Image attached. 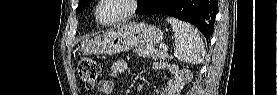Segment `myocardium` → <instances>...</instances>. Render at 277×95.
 <instances>
[{"mask_svg":"<svg viewBox=\"0 0 277 95\" xmlns=\"http://www.w3.org/2000/svg\"><path fill=\"white\" fill-rule=\"evenodd\" d=\"M115 1L121 5V11L110 19H104L100 14V8L103 4ZM138 9L137 0H100L94 10L96 20L103 26H113L117 23L129 19Z\"/></svg>","mask_w":277,"mask_h":95,"instance_id":"f54148a6","label":"myocardium"}]
</instances>
